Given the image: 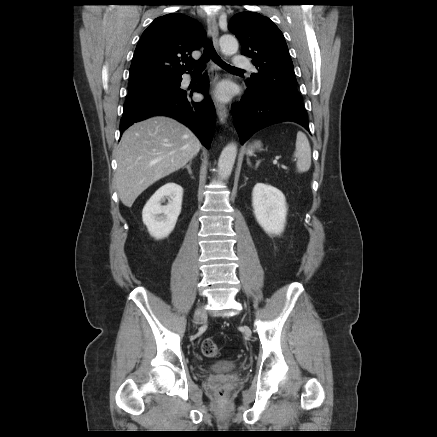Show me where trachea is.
Masks as SVG:
<instances>
[{
	"label": "trachea",
	"instance_id": "obj_1",
	"mask_svg": "<svg viewBox=\"0 0 437 437\" xmlns=\"http://www.w3.org/2000/svg\"><path fill=\"white\" fill-rule=\"evenodd\" d=\"M210 58L213 59L218 65H220L221 67H223V68H225L227 70H240L238 68H235V67L225 63L219 57V55L216 53V51L213 48L211 42H207L206 43L205 49H204V52H203V56H202L201 60L195 65L194 70L195 71H202L205 62L208 61Z\"/></svg>",
	"mask_w": 437,
	"mask_h": 437
}]
</instances>
